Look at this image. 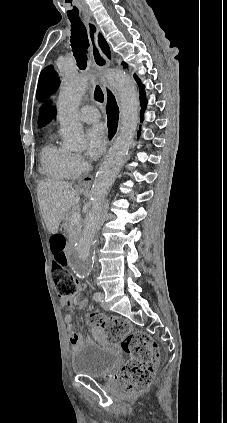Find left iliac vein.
Returning a JSON list of instances; mask_svg holds the SVG:
<instances>
[{"mask_svg":"<svg viewBox=\"0 0 227 423\" xmlns=\"http://www.w3.org/2000/svg\"><path fill=\"white\" fill-rule=\"evenodd\" d=\"M100 295H101V306L104 308V309H108L109 307H108V304L106 303V302H104L103 301V299H104V294L103 293H100Z\"/></svg>","mask_w":227,"mask_h":423,"instance_id":"4c4485c4","label":"left iliac vein"}]
</instances>
